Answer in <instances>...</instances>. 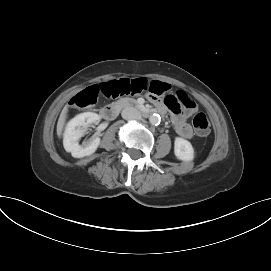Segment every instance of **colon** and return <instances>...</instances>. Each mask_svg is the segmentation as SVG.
Here are the masks:
<instances>
[{
    "label": "colon",
    "instance_id": "obj_1",
    "mask_svg": "<svg viewBox=\"0 0 271 271\" xmlns=\"http://www.w3.org/2000/svg\"><path fill=\"white\" fill-rule=\"evenodd\" d=\"M148 86H150V82L144 78L111 80L85 88L72 98L70 104L76 108L91 107L96 104L100 94L108 97L135 95L147 91ZM168 89L167 84V92ZM154 96L159 99L162 98L164 104L175 114L181 113L182 106L186 109L194 107L193 103L183 93H178L177 96L168 93ZM192 122L198 136L205 137L209 134L210 123L204 113H196Z\"/></svg>",
    "mask_w": 271,
    "mask_h": 271
}]
</instances>
